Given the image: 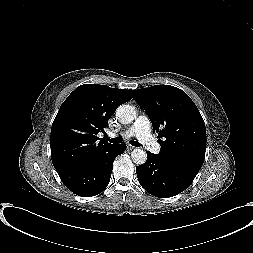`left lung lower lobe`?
Segmentation results:
<instances>
[{
	"label": "left lung lower lobe",
	"mask_w": 253,
	"mask_h": 253,
	"mask_svg": "<svg viewBox=\"0 0 253 253\" xmlns=\"http://www.w3.org/2000/svg\"><path fill=\"white\" fill-rule=\"evenodd\" d=\"M142 187L160 198L173 197L184 191L197 174L160 159L156 154L147 152V161L136 167Z\"/></svg>",
	"instance_id": "obj_1"
}]
</instances>
